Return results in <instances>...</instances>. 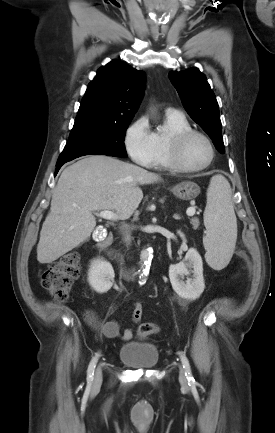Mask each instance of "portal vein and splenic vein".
Listing matches in <instances>:
<instances>
[{
  "instance_id": "portal-vein-and-splenic-vein-1",
  "label": "portal vein and splenic vein",
  "mask_w": 275,
  "mask_h": 433,
  "mask_svg": "<svg viewBox=\"0 0 275 433\" xmlns=\"http://www.w3.org/2000/svg\"><path fill=\"white\" fill-rule=\"evenodd\" d=\"M195 212H196V210L194 207H189L186 211L188 216H193L195 214ZM97 215L103 219H106V220H111V221L117 220L116 214L112 211H109V210L101 211Z\"/></svg>"
}]
</instances>
